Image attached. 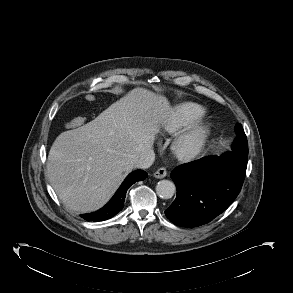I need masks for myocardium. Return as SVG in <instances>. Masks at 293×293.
I'll use <instances>...</instances> for the list:
<instances>
[{
    "label": "myocardium",
    "instance_id": "f54148a6",
    "mask_svg": "<svg viewBox=\"0 0 293 293\" xmlns=\"http://www.w3.org/2000/svg\"><path fill=\"white\" fill-rule=\"evenodd\" d=\"M210 133L206 122L196 121L187 130L179 134L171 145V150L180 161H191L204 148Z\"/></svg>",
    "mask_w": 293,
    "mask_h": 293
}]
</instances>
